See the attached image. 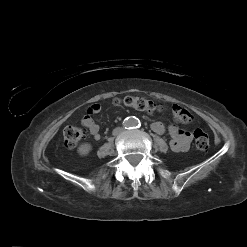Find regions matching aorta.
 <instances>
[{
    "label": "aorta",
    "instance_id": "aorta-1",
    "mask_svg": "<svg viewBox=\"0 0 247 247\" xmlns=\"http://www.w3.org/2000/svg\"><path fill=\"white\" fill-rule=\"evenodd\" d=\"M138 124L137 120L135 118H128L126 120V125L127 126H136Z\"/></svg>",
    "mask_w": 247,
    "mask_h": 247
}]
</instances>
